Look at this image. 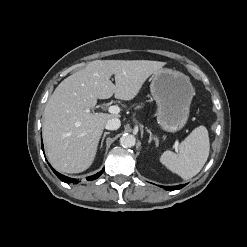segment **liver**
Listing matches in <instances>:
<instances>
[{
	"label": "liver",
	"instance_id": "liver-1",
	"mask_svg": "<svg viewBox=\"0 0 247 247\" xmlns=\"http://www.w3.org/2000/svg\"><path fill=\"white\" fill-rule=\"evenodd\" d=\"M165 64L149 60H96L64 79L44 110L43 140L51 165L65 173L88 169L104 126L118 117L92 112L97 100L113 94L117 99L132 100L147 78ZM112 75L115 84L110 81Z\"/></svg>",
	"mask_w": 247,
	"mask_h": 247
}]
</instances>
